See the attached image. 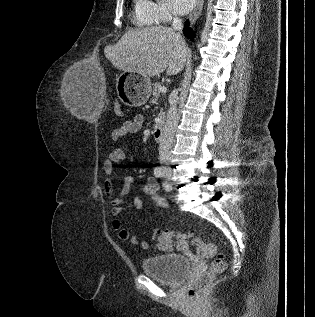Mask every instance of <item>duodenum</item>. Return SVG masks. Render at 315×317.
I'll return each instance as SVG.
<instances>
[{
  "label": "duodenum",
  "mask_w": 315,
  "mask_h": 317,
  "mask_svg": "<svg viewBox=\"0 0 315 317\" xmlns=\"http://www.w3.org/2000/svg\"><path fill=\"white\" fill-rule=\"evenodd\" d=\"M164 133H165V123L163 119H160L154 127L153 137L156 141H161L164 137Z\"/></svg>",
  "instance_id": "1"
}]
</instances>
